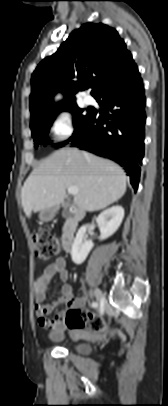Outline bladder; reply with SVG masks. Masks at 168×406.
Wrapping results in <instances>:
<instances>
[{
	"label": "bladder",
	"instance_id": "bladder-1",
	"mask_svg": "<svg viewBox=\"0 0 168 406\" xmlns=\"http://www.w3.org/2000/svg\"><path fill=\"white\" fill-rule=\"evenodd\" d=\"M73 349L75 352L81 354V355H86L90 352V345L86 343H77L73 345Z\"/></svg>",
	"mask_w": 168,
	"mask_h": 406
}]
</instances>
